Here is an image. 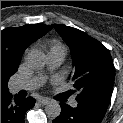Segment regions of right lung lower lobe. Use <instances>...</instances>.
I'll return each instance as SVG.
<instances>
[{
  "instance_id": "right-lung-lower-lobe-1",
  "label": "right lung lower lobe",
  "mask_w": 123,
  "mask_h": 123,
  "mask_svg": "<svg viewBox=\"0 0 123 123\" xmlns=\"http://www.w3.org/2000/svg\"><path fill=\"white\" fill-rule=\"evenodd\" d=\"M36 100L11 94L1 96V123H24L25 112L35 105Z\"/></svg>"
}]
</instances>
